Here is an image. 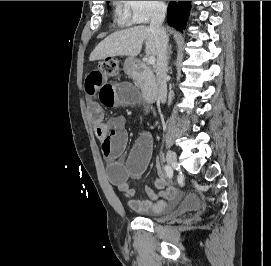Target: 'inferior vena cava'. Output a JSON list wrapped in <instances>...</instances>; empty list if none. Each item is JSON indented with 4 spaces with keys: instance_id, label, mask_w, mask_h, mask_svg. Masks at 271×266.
Segmentation results:
<instances>
[{
    "instance_id": "602c4592",
    "label": "inferior vena cava",
    "mask_w": 271,
    "mask_h": 266,
    "mask_svg": "<svg viewBox=\"0 0 271 266\" xmlns=\"http://www.w3.org/2000/svg\"><path fill=\"white\" fill-rule=\"evenodd\" d=\"M167 6L163 3H158L153 8L149 29L153 33L157 48V64L156 76L159 90V101L166 102L167 96V66H168V35L162 26Z\"/></svg>"
}]
</instances>
